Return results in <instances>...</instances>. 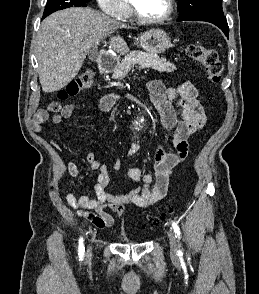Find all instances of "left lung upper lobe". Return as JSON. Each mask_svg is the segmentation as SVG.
<instances>
[{"mask_svg":"<svg viewBox=\"0 0 259 294\" xmlns=\"http://www.w3.org/2000/svg\"><path fill=\"white\" fill-rule=\"evenodd\" d=\"M180 19L196 16L224 17L222 0H177Z\"/></svg>","mask_w":259,"mask_h":294,"instance_id":"1","label":"left lung upper lobe"}]
</instances>
